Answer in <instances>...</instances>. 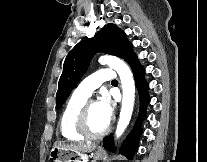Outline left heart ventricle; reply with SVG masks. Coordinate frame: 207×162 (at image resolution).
<instances>
[{
	"mask_svg": "<svg viewBox=\"0 0 207 162\" xmlns=\"http://www.w3.org/2000/svg\"><path fill=\"white\" fill-rule=\"evenodd\" d=\"M109 121L106 119L99 103H95L91 106L88 112L87 125L92 133H98L102 131Z\"/></svg>",
	"mask_w": 207,
	"mask_h": 162,
	"instance_id": "b2bd125f",
	"label": "left heart ventricle"
}]
</instances>
